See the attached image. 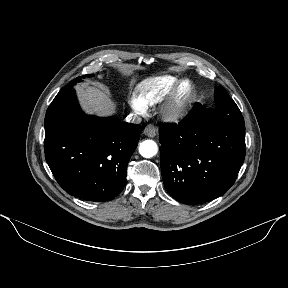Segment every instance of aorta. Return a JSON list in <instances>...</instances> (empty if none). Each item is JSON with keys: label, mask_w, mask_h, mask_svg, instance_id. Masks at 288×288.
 Wrapping results in <instances>:
<instances>
[{"label": "aorta", "mask_w": 288, "mask_h": 288, "mask_svg": "<svg viewBox=\"0 0 288 288\" xmlns=\"http://www.w3.org/2000/svg\"><path fill=\"white\" fill-rule=\"evenodd\" d=\"M158 147L153 140H145L140 143L139 153L144 158H151L157 154Z\"/></svg>", "instance_id": "1"}]
</instances>
